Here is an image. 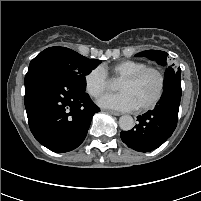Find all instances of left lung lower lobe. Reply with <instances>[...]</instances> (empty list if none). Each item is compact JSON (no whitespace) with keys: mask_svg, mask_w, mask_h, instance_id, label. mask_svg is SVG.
Wrapping results in <instances>:
<instances>
[{"mask_svg":"<svg viewBox=\"0 0 201 201\" xmlns=\"http://www.w3.org/2000/svg\"><path fill=\"white\" fill-rule=\"evenodd\" d=\"M181 100V81L172 80L164 87L155 108L138 116L134 129L122 131V141L131 149L150 152L163 144L174 132Z\"/></svg>","mask_w":201,"mask_h":201,"instance_id":"0a47b994","label":"left lung lower lobe"}]
</instances>
